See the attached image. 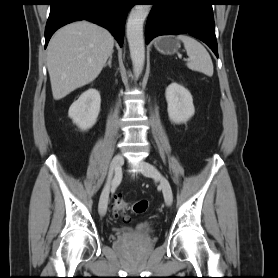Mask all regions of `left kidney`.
<instances>
[{
  "mask_svg": "<svg viewBox=\"0 0 278 278\" xmlns=\"http://www.w3.org/2000/svg\"><path fill=\"white\" fill-rule=\"evenodd\" d=\"M168 116L176 124L187 122L195 112L193 99L190 92L176 82L166 88Z\"/></svg>",
  "mask_w": 278,
  "mask_h": 278,
  "instance_id": "left-kidney-1",
  "label": "left kidney"
}]
</instances>
